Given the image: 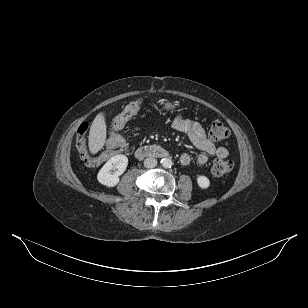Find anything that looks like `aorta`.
<instances>
[{
	"mask_svg": "<svg viewBox=\"0 0 308 308\" xmlns=\"http://www.w3.org/2000/svg\"><path fill=\"white\" fill-rule=\"evenodd\" d=\"M161 165L164 167V168H171L172 165H173V162L171 159L169 158H163L161 159Z\"/></svg>",
	"mask_w": 308,
	"mask_h": 308,
	"instance_id": "762f6f07",
	"label": "aorta"
}]
</instances>
